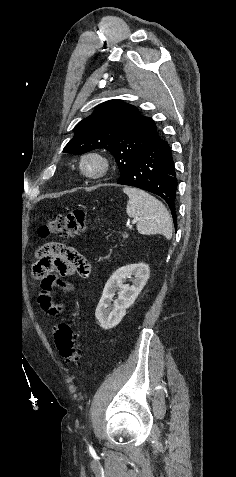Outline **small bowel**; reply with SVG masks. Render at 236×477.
<instances>
[{
	"label": "small bowel",
	"instance_id": "small-bowel-1",
	"mask_svg": "<svg viewBox=\"0 0 236 477\" xmlns=\"http://www.w3.org/2000/svg\"><path fill=\"white\" fill-rule=\"evenodd\" d=\"M48 246L57 249L58 253L51 254L44 258L38 257V263L34 270L35 276L41 280V290L38 296L39 306L47 315L56 318L61 314L63 308L56 304L52 298L53 288L60 285L58 277L53 275V273L55 272L60 277H66L78 272L82 276L87 277L90 274V265L73 247L55 242L49 243ZM78 255L84 258L85 265L89 270L88 274L81 272L80 262L76 260Z\"/></svg>",
	"mask_w": 236,
	"mask_h": 477
}]
</instances>
